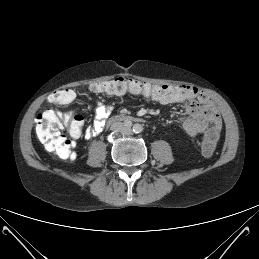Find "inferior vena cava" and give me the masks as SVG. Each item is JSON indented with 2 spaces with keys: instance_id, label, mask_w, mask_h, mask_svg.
Listing matches in <instances>:
<instances>
[{
  "instance_id": "obj_1",
  "label": "inferior vena cava",
  "mask_w": 259,
  "mask_h": 259,
  "mask_svg": "<svg viewBox=\"0 0 259 259\" xmlns=\"http://www.w3.org/2000/svg\"><path fill=\"white\" fill-rule=\"evenodd\" d=\"M111 129L113 130V131H123V132H126V128L123 126V124L122 123H119V122H117V123H114L112 126H111Z\"/></svg>"
}]
</instances>
